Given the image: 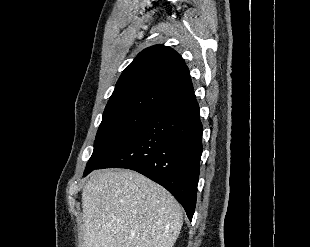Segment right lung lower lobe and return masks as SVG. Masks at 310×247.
Listing matches in <instances>:
<instances>
[{
    "label": "right lung lower lobe",
    "mask_w": 310,
    "mask_h": 247,
    "mask_svg": "<svg viewBox=\"0 0 310 247\" xmlns=\"http://www.w3.org/2000/svg\"><path fill=\"white\" fill-rule=\"evenodd\" d=\"M202 132L200 110L193 94L151 117L97 169L127 168L145 175L172 193L192 220Z\"/></svg>",
    "instance_id": "98d812e1"
}]
</instances>
